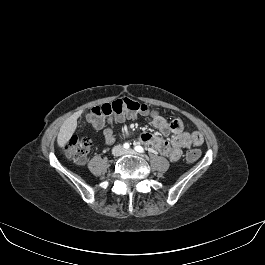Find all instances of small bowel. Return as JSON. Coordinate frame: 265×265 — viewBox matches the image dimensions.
<instances>
[{
    "label": "small bowel",
    "mask_w": 265,
    "mask_h": 265,
    "mask_svg": "<svg viewBox=\"0 0 265 265\" xmlns=\"http://www.w3.org/2000/svg\"><path fill=\"white\" fill-rule=\"evenodd\" d=\"M132 117H135V115L128 114L117 116L115 120L117 122H122L126 118ZM150 121L161 135H172V138L168 140L154 134L143 133L139 136V141L150 146L153 150L172 161L180 159L183 149L191 146H199L203 142L202 135L199 132H184L183 121L179 118L168 121L162 115L155 112L150 115ZM99 128H102V125L99 126ZM103 135L107 144H112L115 141V134L112 127H104Z\"/></svg>",
    "instance_id": "obj_1"
}]
</instances>
